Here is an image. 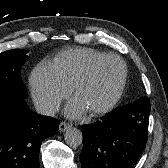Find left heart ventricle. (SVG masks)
Wrapping results in <instances>:
<instances>
[{"label":"left heart ventricle","mask_w":168,"mask_h":168,"mask_svg":"<svg viewBox=\"0 0 168 168\" xmlns=\"http://www.w3.org/2000/svg\"><path fill=\"white\" fill-rule=\"evenodd\" d=\"M121 77V68L116 60H107L95 72L93 79L85 85L76 98L88 111L105 104Z\"/></svg>","instance_id":"obj_1"}]
</instances>
